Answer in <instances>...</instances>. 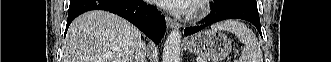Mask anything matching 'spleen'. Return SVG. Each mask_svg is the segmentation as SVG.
Wrapping results in <instances>:
<instances>
[{
	"label": "spleen",
	"instance_id": "3e777b00",
	"mask_svg": "<svg viewBox=\"0 0 331 62\" xmlns=\"http://www.w3.org/2000/svg\"><path fill=\"white\" fill-rule=\"evenodd\" d=\"M214 31H228L238 38L245 46L242 50L239 62H263L262 51L258 40L252 30L242 22L225 20L211 27Z\"/></svg>",
	"mask_w": 331,
	"mask_h": 62
}]
</instances>
